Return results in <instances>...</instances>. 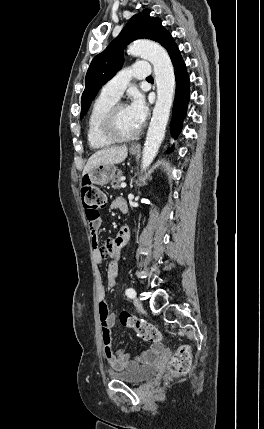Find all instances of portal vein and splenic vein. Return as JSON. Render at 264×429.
I'll return each mask as SVG.
<instances>
[{
  "label": "portal vein and splenic vein",
  "mask_w": 264,
  "mask_h": 429,
  "mask_svg": "<svg viewBox=\"0 0 264 429\" xmlns=\"http://www.w3.org/2000/svg\"><path fill=\"white\" fill-rule=\"evenodd\" d=\"M120 186H121L122 188H125V187H126V183H125V182H121Z\"/></svg>",
  "instance_id": "18ae733b"
}]
</instances>
